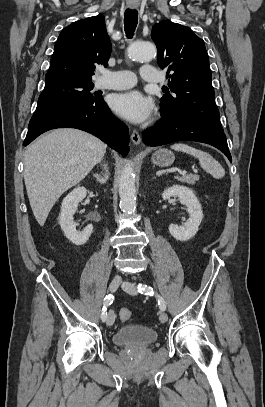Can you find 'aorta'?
Here are the masks:
<instances>
[{
  "label": "aorta",
  "instance_id": "762f6f07",
  "mask_svg": "<svg viewBox=\"0 0 265 407\" xmlns=\"http://www.w3.org/2000/svg\"><path fill=\"white\" fill-rule=\"evenodd\" d=\"M156 48L149 42H135L128 49L129 57L135 61H151L156 57ZM120 207L126 212L136 208L135 175L132 164L127 162L121 172L119 181Z\"/></svg>",
  "mask_w": 265,
  "mask_h": 407
}]
</instances>
